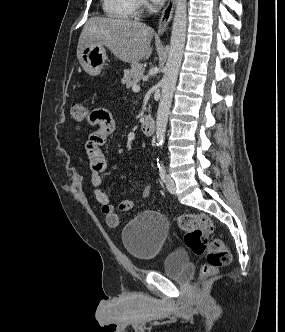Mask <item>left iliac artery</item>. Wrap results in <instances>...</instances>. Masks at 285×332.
<instances>
[{
    "label": "left iliac artery",
    "mask_w": 285,
    "mask_h": 332,
    "mask_svg": "<svg viewBox=\"0 0 285 332\" xmlns=\"http://www.w3.org/2000/svg\"><path fill=\"white\" fill-rule=\"evenodd\" d=\"M158 168H159V176L161 180L164 182L166 177V170L163 163H158Z\"/></svg>",
    "instance_id": "obj_1"
}]
</instances>
